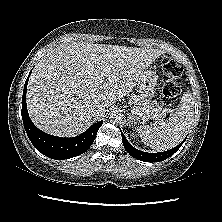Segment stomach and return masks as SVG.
I'll list each match as a JSON object with an SVG mask.
<instances>
[{
  "mask_svg": "<svg viewBox=\"0 0 222 222\" xmlns=\"http://www.w3.org/2000/svg\"><path fill=\"white\" fill-rule=\"evenodd\" d=\"M158 76L155 71L144 70L137 83L142 98L152 97L156 90Z\"/></svg>",
  "mask_w": 222,
  "mask_h": 222,
  "instance_id": "obj_1",
  "label": "stomach"
}]
</instances>
